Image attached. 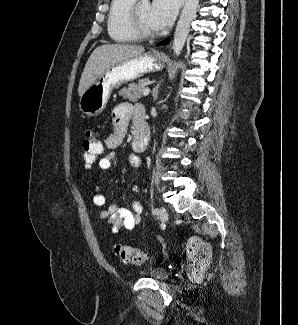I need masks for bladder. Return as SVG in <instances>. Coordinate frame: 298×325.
Segmentation results:
<instances>
[{
  "label": "bladder",
  "instance_id": "31cf9c89",
  "mask_svg": "<svg viewBox=\"0 0 298 325\" xmlns=\"http://www.w3.org/2000/svg\"><path fill=\"white\" fill-rule=\"evenodd\" d=\"M147 276L157 281H165L169 278V273L163 268H152L147 272Z\"/></svg>",
  "mask_w": 298,
  "mask_h": 325
}]
</instances>
